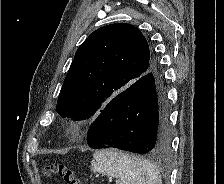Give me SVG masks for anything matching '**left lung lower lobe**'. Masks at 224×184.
Masks as SVG:
<instances>
[{
    "label": "left lung lower lobe",
    "instance_id": "1",
    "mask_svg": "<svg viewBox=\"0 0 224 184\" xmlns=\"http://www.w3.org/2000/svg\"><path fill=\"white\" fill-rule=\"evenodd\" d=\"M91 148L115 147L139 154L169 149L168 108L157 73L149 72L112 98L92 123Z\"/></svg>",
    "mask_w": 224,
    "mask_h": 184
}]
</instances>
